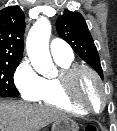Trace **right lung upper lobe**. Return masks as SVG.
I'll return each instance as SVG.
<instances>
[{
    "label": "right lung upper lobe",
    "mask_w": 117,
    "mask_h": 131,
    "mask_svg": "<svg viewBox=\"0 0 117 131\" xmlns=\"http://www.w3.org/2000/svg\"><path fill=\"white\" fill-rule=\"evenodd\" d=\"M25 17L19 6L0 10V61H20L24 46Z\"/></svg>",
    "instance_id": "right-lung-upper-lobe-1"
}]
</instances>
